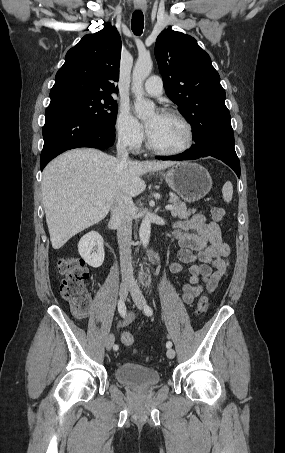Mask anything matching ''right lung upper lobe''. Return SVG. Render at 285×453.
Returning <instances> with one entry per match:
<instances>
[{
	"mask_svg": "<svg viewBox=\"0 0 285 453\" xmlns=\"http://www.w3.org/2000/svg\"><path fill=\"white\" fill-rule=\"evenodd\" d=\"M121 38L111 24L94 34L85 35L71 48L55 76L51 100L71 94L109 95L117 92Z\"/></svg>",
	"mask_w": 285,
	"mask_h": 453,
	"instance_id": "obj_1",
	"label": "right lung upper lobe"
}]
</instances>
